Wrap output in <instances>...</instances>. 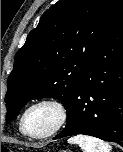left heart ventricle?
Returning a JSON list of instances; mask_svg holds the SVG:
<instances>
[{"label": "left heart ventricle", "mask_w": 123, "mask_h": 152, "mask_svg": "<svg viewBox=\"0 0 123 152\" xmlns=\"http://www.w3.org/2000/svg\"><path fill=\"white\" fill-rule=\"evenodd\" d=\"M58 121L57 110L50 105H40L29 111L25 125L32 134H43L51 130Z\"/></svg>", "instance_id": "obj_1"}]
</instances>
